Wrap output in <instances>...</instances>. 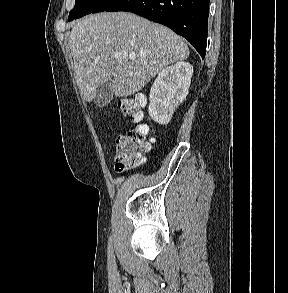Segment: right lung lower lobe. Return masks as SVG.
<instances>
[{
    "mask_svg": "<svg viewBox=\"0 0 288 293\" xmlns=\"http://www.w3.org/2000/svg\"><path fill=\"white\" fill-rule=\"evenodd\" d=\"M210 0H118L105 11H128L166 25L206 54Z\"/></svg>",
    "mask_w": 288,
    "mask_h": 293,
    "instance_id": "right-lung-lower-lobe-1",
    "label": "right lung lower lobe"
}]
</instances>
